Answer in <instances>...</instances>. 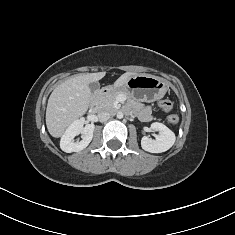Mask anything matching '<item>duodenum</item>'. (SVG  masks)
Wrapping results in <instances>:
<instances>
[{
    "label": "duodenum",
    "instance_id": "410a0bca",
    "mask_svg": "<svg viewBox=\"0 0 235 235\" xmlns=\"http://www.w3.org/2000/svg\"><path fill=\"white\" fill-rule=\"evenodd\" d=\"M113 90L110 88V87H103L101 89H99L98 91V95H106V94H109L111 93ZM92 111H94V109L92 108L91 109Z\"/></svg>",
    "mask_w": 235,
    "mask_h": 235
}]
</instances>
